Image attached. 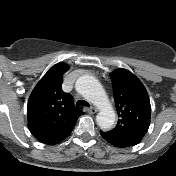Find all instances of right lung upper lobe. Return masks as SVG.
I'll return each instance as SVG.
<instances>
[{
  "label": "right lung upper lobe",
  "instance_id": "cb5924a9",
  "mask_svg": "<svg viewBox=\"0 0 176 176\" xmlns=\"http://www.w3.org/2000/svg\"><path fill=\"white\" fill-rule=\"evenodd\" d=\"M65 63L54 65L34 88L27 106L28 127L36 139L53 145L64 140L84 114L75 108L72 96L62 90Z\"/></svg>",
  "mask_w": 176,
  "mask_h": 176
}]
</instances>
